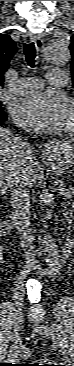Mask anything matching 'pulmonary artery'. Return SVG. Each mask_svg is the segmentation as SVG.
I'll list each match as a JSON object with an SVG mask.
<instances>
[{"mask_svg": "<svg viewBox=\"0 0 74 366\" xmlns=\"http://www.w3.org/2000/svg\"><path fill=\"white\" fill-rule=\"evenodd\" d=\"M68 74L64 70H51L47 74L49 85L60 87L64 84ZM43 87L42 80L38 78H22L14 86V90L19 94H32L38 92Z\"/></svg>", "mask_w": 74, "mask_h": 366, "instance_id": "obj_1", "label": "pulmonary artery"}]
</instances>
